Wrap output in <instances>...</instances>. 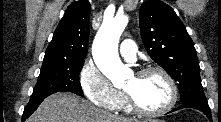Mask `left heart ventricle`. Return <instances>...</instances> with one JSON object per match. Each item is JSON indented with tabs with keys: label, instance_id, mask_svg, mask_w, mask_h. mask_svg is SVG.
Instances as JSON below:
<instances>
[{
	"label": "left heart ventricle",
	"instance_id": "1",
	"mask_svg": "<svg viewBox=\"0 0 221 122\" xmlns=\"http://www.w3.org/2000/svg\"><path fill=\"white\" fill-rule=\"evenodd\" d=\"M125 91L131 93L136 101L148 110L164 107L170 97L168 84L157 73H151L140 78L132 76L125 86Z\"/></svg>",
	"mask_w": 221,
	"mask_h": 122
}]
</instances>
